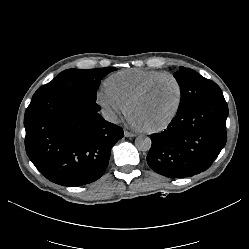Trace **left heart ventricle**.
Returning <instances> with one entry per match:
<instances>
[{
  "instance_id": "b2bd125f",
  "label": "left heart ventricle",
  "mask_w": 249,
  "mask_h": 249,
  "mask_svg": "<svg viewBox=\"0 0 249 249\" xmlns=\"http://www.w3.org/2000/svg\"><path fill=\"white\" fill-rule=\"evenodd\" d=\"M178 89L170 78L155 82L148 92L131 108L145 128H152L165 121L175 110Z\"/></svg>"
}]
</instances>
